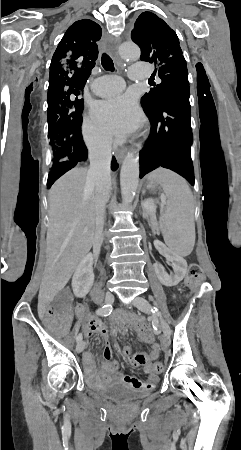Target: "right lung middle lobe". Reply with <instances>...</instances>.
<instances>
[{"mask_svg": "<svg viewBox=\"0 0 241 450\" xmlns=\"http://www.w3.org/2000/svg\"><path fill=\"white\" fill-rule=\"evenodd\" d=\"M79 95L80 90L67 89L53 98H48V137L52 163L66 161L72 157V148L62 130L82 124L84 101Z\"/></svg>", "mask_w": 241, "mask_h": 450, "instance_id": "dd1d6c3e", "label": "right lung middle lobe"}]
</instances>
